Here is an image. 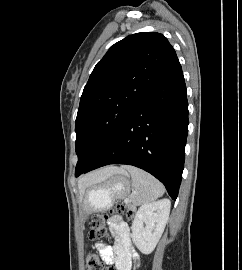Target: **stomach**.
<instances>
[{"mask_svg":"<svg viewBox=\"0 0 242 270\" xmlns=\"http://www.w3.org/2000/svg\"><path fill=\"white\" fill-rule=\"evenodd\" d=\"M129 191V175L122 169L106 180L91 185L85 194L82 219L85 221L91 213L109 209L115 200L124 198Z\"/></svg>","mask_w":242,"mask_h":270,"instance_id":"obj_1","label":"stomach"}]
</instances>
